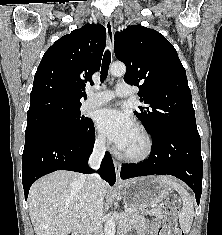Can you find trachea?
<instances>
[{"mask_svg":"<svg viewBox=\"0 0 222 235\" xmlns=\"http://www.w3.org/2000/svg\"><path fill=\"white\" fill-rule=\"evenodd\" d=\"M111 62V53L109 50H106V52L104 53L103 56V60H102V67H101V78L100 81L104 82L108 76V70H109V65Z\"/></svg>","mask_w":222,"mask_h":235,"instance_id":"1","label":"trachea"}]
</instances>
